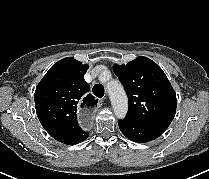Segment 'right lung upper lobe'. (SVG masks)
<instances>
[{
    "label": "right lung upper lobe",
    "mask_w": 209,
    "mask_h": 179,
    "mask_svg": "<svg viewBox=\"0 0 209 179\" xmlns=\"http://www.w3.org/2000/svg\"><path fill=\"white\" fill-rule=\"evenodd\" d=\"M88 65L72 57L55 63L36 87L34 100L38 119L44 129L64 144H75L87 132L77 121V108L97 104L84 80Z\"/></svg>",
    "instance_id": "obj_1"
}]
</instances>
